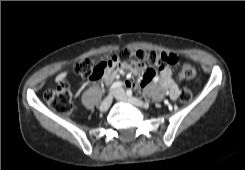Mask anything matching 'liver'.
Returning a JSON list of instances; mask_svg holds the SVG:
<instances>
[{
  "mask_svg": "<svg viewBox=\"0 0 245 170\" xmlns=\"http://www.w3.org/2000/svg\"><path fill=\"white\" fill-rule=\"evenodd\" d=\"M66 76H67V72H63V73L59 74V75L56 77L55 81H56V82H61L62 80H64V78H65Z\"/></svg>",
  "mask_w": 245,
  "mask_h": 170,
  "instance_id": "6515ba94",
  "label": "liver"
}]
</instances>
